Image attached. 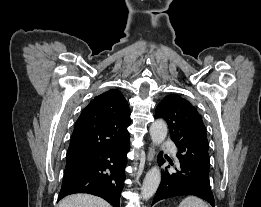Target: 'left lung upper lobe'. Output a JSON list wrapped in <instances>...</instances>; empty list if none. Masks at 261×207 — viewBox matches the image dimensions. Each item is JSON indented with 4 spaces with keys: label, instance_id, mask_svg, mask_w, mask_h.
Wrapping results in <instances>:
<instances>
[{
    "label": "left lung upper lobe",
    "instance_id": "obj_1",
    "mask_svg": "<svg viewBox=\"0 0 261 207\" xmlns=\"http://www.w3.org/2000/svg\"><path fill=\"white\" fill-rule=\"evenodd\" d=\"M155 118L167 121L170 136L178 148V158L209 171L206 128L189 101L176 94L168 95L158 104Z\"/></svg>",
    "mask_w": 261,
    "mask_h": 207
}]
</instances>
